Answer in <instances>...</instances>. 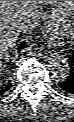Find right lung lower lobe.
Segmentation results:
<instances>
[{"label":"right lung lower lobe","instance_id":"1","mask_svg":"<svg viewBox=\"0 0 74 122\" xmlns=\"http://www.w3.org/2000/svg\"><path fill=\"white\" fill-rule=\"evenodd\" d=\"M26 47L25 43H22L21 46L19 47V50L23 49ZM11 87V83H9L6 86H0V94L4 93L5 91H7L9 88Z\"/></svg>","mask_w":74,"mask_h":122}]
</instances>
